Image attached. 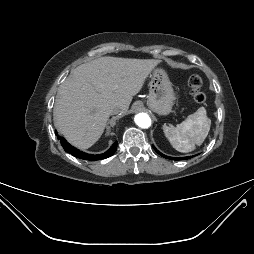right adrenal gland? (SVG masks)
<instances>
[{
  "label": "right adrenal gland",
  "mask_w": 254,
  "mask_h": 254,
  "mask_svg": "<svg viewBox=\"0 0 254 254\" xmlns=\"http://www.w3.org/2000/svg\"><path fill=\"white\" fill-rule=\"evenodd\" d=\"M108 133H109V126H108V123H107V125H106V135H108Z\"/></svg>",
  "instance_id": "2a0ac1e0"
}]
</instances>
